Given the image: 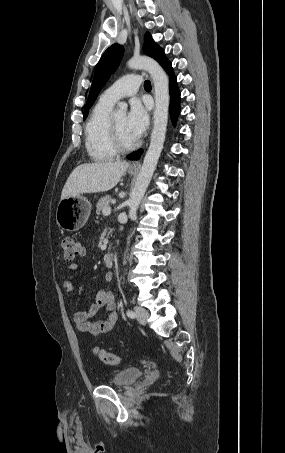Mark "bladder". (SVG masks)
<instances>
[{
  "label": "bladder",
  "instance_id": "bladder-1",
  "mask_svg": "<svg viewBox=\"0 0 285 453\" xmlns=\"http://www.w3.org/2000/svg\"><path fill=\"white\" fill-rule=\"evenodd\" d=\"M143 374V371L138 367H129L119 370L113 374L109 380V384L116 387H124L133 384Z\"/></svg>",
  "mask_w": 285,
  "mask_h": 453
}]
</instances>
